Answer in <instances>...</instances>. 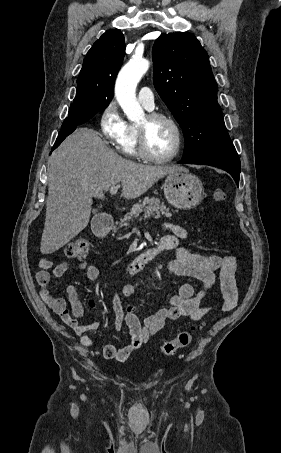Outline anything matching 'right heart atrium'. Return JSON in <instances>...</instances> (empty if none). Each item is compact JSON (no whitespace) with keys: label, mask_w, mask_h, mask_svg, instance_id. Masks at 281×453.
<instances>
[{"label":"right heart atrium","mask_w":281,"mask_h":453,"mask_svg":"<svg viewBox=\"0 0 281 453\" xmlns=\"http://www.w3.org/2000/svg\"><path fill=\"white\" fill-rule=\"evenodd\" d=\"M116 98L119 102V97L128 100L130 96V85L127 79L115 83ZM100 130L102 135L111 143H117L122 137L126 122L120 114L117 101H111L101 112L100 115ZM106 156L114 163L118 161L117 156L109 151Z\"/></svg>","instance_id":"right-heart-atrium-1"}]
</instances>
